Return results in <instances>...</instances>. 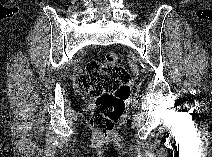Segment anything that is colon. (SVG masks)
Listing matches in <instances>:
<instances>
[{"instance_id": "1", "label": "colon", "mask_w": 212, "mask_h": 157, "mask_svg": "<svg viewBox=\"0 0 212 157\" xmlns=\"http://www.w3.org/2000/svg\"><path fill=\"white\" fill-rule=\"evenodd\" d=\"M130 83L131 76L116 53H108L103 61L88 62L79 85L83 92L96 98L90 125L99 137L112 135L130 97Z\"/></svg>"}]
</instances>
